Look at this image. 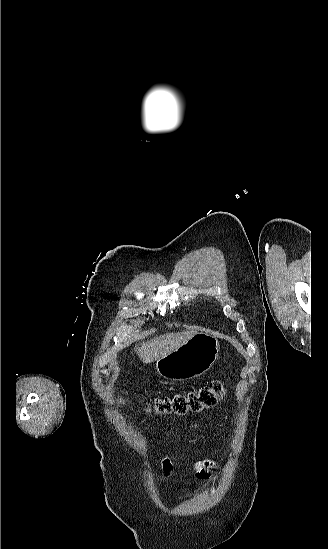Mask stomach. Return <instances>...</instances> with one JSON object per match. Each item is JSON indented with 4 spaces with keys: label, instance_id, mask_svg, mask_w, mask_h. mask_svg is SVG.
Returning <instances> with one entry per match:
<instances>
[{
    "label": "stomach",
    "instance_id": "0dacf381",
    "mask_svg": "<svg viewBox=\"0 0 328 549\" xmlns=\"http://www.w3.org/2000/svg\"><path fill=\"white\" fill-rule=\"evenodd\" d=\"M219 341L212 331H198L189 341L156 361V369L169 381H189L201 377L219 355Z\"/></svg>",
    "mask_w": 328,
    "mask_h": 549
}]
</instances>
